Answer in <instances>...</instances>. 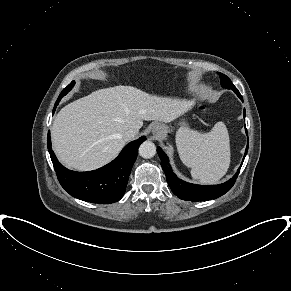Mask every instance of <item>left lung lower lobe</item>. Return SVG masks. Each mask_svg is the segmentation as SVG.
I'll return each instance as SVG.
<instances>
[{
  "label": "left lung lower lobe",
  "instance_id": "0a47b994",
  "mask_svg": "<svg viewBox=\"0 0 291 291\" xmlns=\"http://www.w3.org/2000/svg\"><path fill=\"white\" fill-rule=\"evenodd\" d=\"M237 95L241 100H243L240 94H237ZM244 118H245V110H244ZM246 133H247V130H246ZM247 151H248V145L245 151L243 161L245 159ZM157 152L161 159V166L166 175L167 183L170 186L171 190L180 199L187 200V201H208V200L216 199L224 195L234 185L237 179V176L239 174L240 168L243 164L242 162L238 171L227 182L219 184V185L201 186V185H196V184H190L179 179L176 176V174L173 173V170L169 164V159L167 155L164 153V151L160 147H158Z\"/></svg>",
  "mask_w": 291,
  "mask_h": 291
}]
</instances>
